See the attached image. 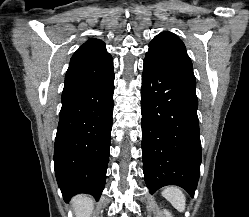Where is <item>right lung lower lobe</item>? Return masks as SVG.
Instances as JSON below:
<instances>
[{"mask_svg":"<svg viewBox=\"0 0 249 217\" xmlns=\"http://www.w3.org/2000/svg\"><path fill=\"white\" fill-rule=\"evenodd\" d=\"M111 55L72 63L65 76L54 147V169L66 201L78 193L99 199L106 181L113 115Z\"/></svg>","mask_w":249,"mask_h":217,"instance_id":"98d812e1","label":"right lung lower lobe"}]
</instances>
